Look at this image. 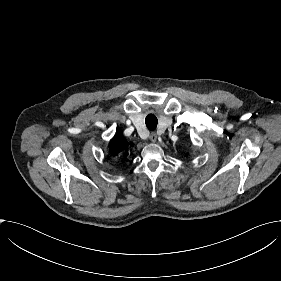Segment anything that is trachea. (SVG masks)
I'll use <instances>...</instances> for the list:
<instances>
[{"instance_id":"obj_1","label":"trachea","mask_w":281,"mask_h":281,"mask_svg":"<svg viewBox=\"0 0 281 281\" xmlns=\"http://www.w3.org/2000/svg\"><path fill=\"white\" fill-rule=\"evenodd\" d=\"M146 126L149 130H155L157 127V117L154 114H149L145 119Z\"/></svg>"}]
</instances>
